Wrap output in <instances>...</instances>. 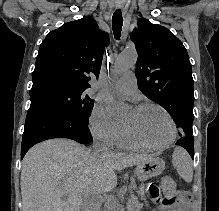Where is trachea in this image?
<instances>
[{
  "instance_id": "3493384b",
  "label": "trachea",
  "mask_w": 219,
  "mask_h": 211,
  "mask_svg": "<svg viewBox=\"0 0 219 211\" xmlns=\"http://www.w3.org/2000/svg\"><path fill=\"white\" fill-rule=\"evenodd\" d=\"M122 26H123V17L121 10H116L112 20V28L116 40H120Z\"/></svg>"
}]
</instances>
